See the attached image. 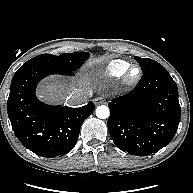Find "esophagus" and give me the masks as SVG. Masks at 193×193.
<instances>
[{
  "mask_svg": "<svg viewBox=\"0 0 193 193\" xmlns=\"http://www.w3.org/2000/svg\"><path fill=\"white\" fill-rule=\"evenodd\" d=\"M93 101L95 105H100L104 102V99L102 97H96Z\"/></svg>",
  "mask_w": 193,
  "mask_h": 193,
  "instance_id": "esophagus-1",
  "label": "esophagus"
}]
</instances>
